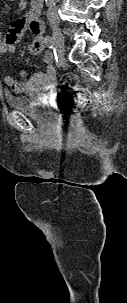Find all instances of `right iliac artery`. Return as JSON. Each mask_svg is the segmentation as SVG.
Listing matches in <instances>:
<instances>
[{"label":"right iliac artery","instance_id":"1","mask_svg":"<svg viewBox=\"0 0 127 303\" xmlns=\"http://www.w3.org/2000/svg\"><path fill=\"white\" fill-rule=\"evenodd\" d=\"M45 43H46L47 47H49L51 49L54 47V40L49 35L45 37Z\"/></svg>","mask_w":127,"mask_h":303}]
</instances>
